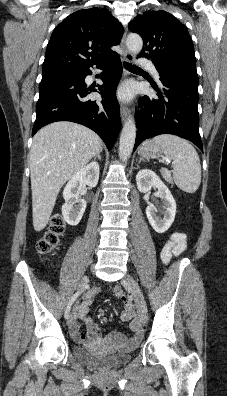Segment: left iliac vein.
<instances>
[{
  "mask_svg": "<svg viewBox=\"0 0 227 396\" xmlns=\"http://www.w3.org/2000/svg\"><path fill=\"white\" fill-rule=\"evenodd\" d=\"M122 285L125 288H128L132 291L134 298H135V303H136V306L138 309L139 319H140L141 323L143 325H145L147 323V319H148L147 305H146L144 295H143L139 285L130 275H126L122 279Z\"/></svg>",
  "mask_w": 227,
  "mask_h": 396,
  "instance_id": "1",
  "label": "left iliac vein"
}]
</instances>
